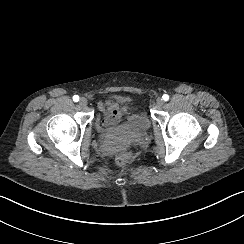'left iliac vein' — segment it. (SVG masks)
Listing matches in <instances>:
<instances>
[{
	"label": "left iliac vein",
	"instance_id": "4c4485c4",
	"mask_svg": "<svg viewBox=\"0 0 244 244\" xmlns=\"http://www.w3.org/2000/svg\"><path fill=\"white\" fill-rule=\"evenodd\" d=\"M156 104L157 106L162 107L164 105V100L161 97H159L156 100Z\"/></svg>",
	"mask_w": 244,
	"mask_h": 244
}]
</instances>
